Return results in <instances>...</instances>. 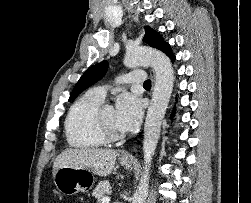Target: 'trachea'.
Returning a JSON list of instances; mask_svg holds the SVG:
<instances>
[{"instance_id": "1", "label": "trachea", "mask_w": 251, "mask_h": 203, "mask_svg": "<svg viewBox=\"0 0 251 203\" xmlns=\"http://www.w3.org/2000/svg\"><path fill=\"white\" fill-rule=\"evenodd\" d=\"M143 85L144 86H151V80H146Z\"/></svg>"}]
</instances>
